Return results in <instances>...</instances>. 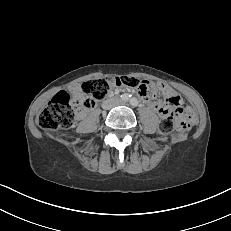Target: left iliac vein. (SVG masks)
I'll list each match as a JSON object with an SVG mask.
<instances>
[{
    "mask_svg": "<svg viewBox=\"0 0 231 231\" xmlns=\"http://www.w3.org/2000/svg\"><path fill=\"white\" fill-rule=\"evenodd\" d=\"M117 105H121V106H123V105H126V103H125V102H123V101H120V102H118V103H117Z\"/></svg>",
    "mask_w": 231,
    "mask_h": 231,
    "instance_id": "left-iliac-vein-1",
    "label": "left iliac vein"
}]
</instances>
